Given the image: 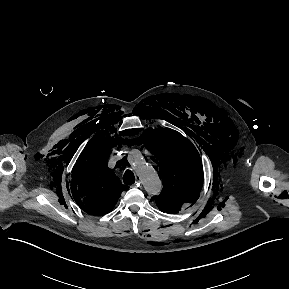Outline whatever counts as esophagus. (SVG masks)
<instances>
[{
    "label": "esophagus",
    "instance_id": "esophagus-1",
    "mask_svg": "<svg viewBox=\"0 0 289 289\" xmlns=\"http://www.w3.org/2000/svg\"><path fill=\"white\" fill-rule=\"evenodd\" d=\"M137 186H140V181L137 180L135 184H133L131 187H137Z\"/></svg>",
    "mask_w": 289,
    "mask_h": 289
}]
</instances>
